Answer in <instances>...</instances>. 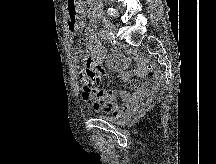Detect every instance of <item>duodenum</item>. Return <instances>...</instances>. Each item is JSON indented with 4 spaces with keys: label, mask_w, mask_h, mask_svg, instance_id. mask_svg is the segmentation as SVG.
<instances>
[{
    "label": "duodenum",
    "mask_w": 216,
    "mask_h": 164,
    "mask_svg": "<svg viewBox=\"0 0 216 164\" xmlns=\"http://www.w3.org/2000/svg\"><path fill=\"white\" fill-rule=\"evenodd\" d=\"M69 9H76V0H68ZM90 11L92 14V17L95 18L97 14V6L94 2H91L89 4Z\"/></svg>",
    "instance_id": "1"
}]
</instances>
